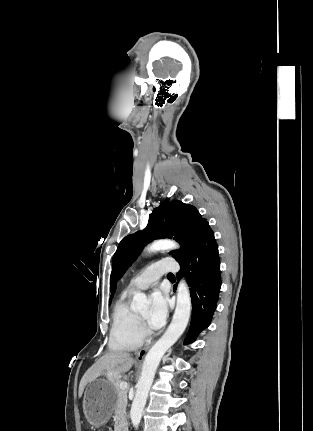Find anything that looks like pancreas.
<instances>
[{"instance_id": "1", "label": "pancreas", "mask_w": 313, "mask_h": 431, "mask_svg": "<svg viewBox=\"0 0 313 431\" xmlns=\"http://www.w3.org/2000/svg\"><path fill=\"white\" fill-rule=\"evenodd\" d=\"M112 380L117 395L114 420L116 429H119L126 422L127 390H122L119 387L121 382L119 376L113 378Z\"/></svg>"}]
</instances>
